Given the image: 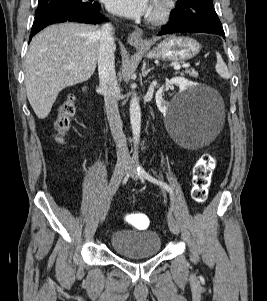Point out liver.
<instances>
[{"label":"liver","mask_w":267,"mask_h":301,"mask_svg":"<svg viewBox=\"0 0 267 301\" xmlns=\"http://www.w3.org/2000/svg\"><path fill=\"white\" fill-rule=\"evenodd\" d=\"M100 38L98 26L80 23L51 25L33 38L25 61V87L39 119L49 115L60 91L93 75Z\"/></svg>","instance_id":"6515ba94"}]
</instances>
